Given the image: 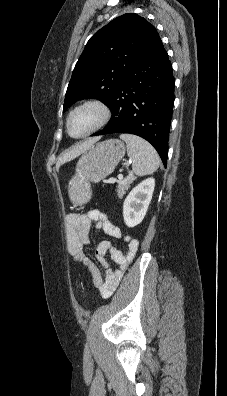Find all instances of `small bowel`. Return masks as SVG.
<instances>
[{
	"label": "small bowel",
	"instance_id": "c3829d8e",
	"mask_svg": "<svg viewBox=\"0 0 227 396\" xmlns=\"http://www.w3.org/2000/svg\"><path fill=\"white\" fill-rule=\"evenodd\" d=\"M93 224L109 237L115 239L123 237L120 229L108 219L107 215L95 209L86 214H71L66 218V245L71 255L87 268L101 295L110 297L136 254L139 241L125 236L128 247L124 252L116 249L108 240L101 241L96 248V257L105 269L103 276L97 266L83 254V247L89 243V233ZM109 258L118 265L117 269L112 270L109 267Z\"/></svg>",
	"mask_w": 227,
	"mask_h": 396
}]
</instances>
